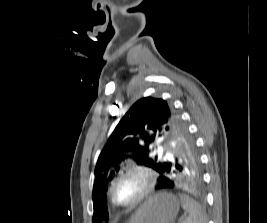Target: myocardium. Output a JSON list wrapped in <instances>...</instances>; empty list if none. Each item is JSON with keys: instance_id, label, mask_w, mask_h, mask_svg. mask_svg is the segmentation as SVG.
Here are the masks:
<instances>
[{"instance_id": "obj_1", "label": "myocardium", "mask_w": 267, "mask_h": 223, "mask_svg": "<svg viewBox=\"0 0 267 223\" xmlns=\"http://www.w3.org/2000/svg\"><path fill=\"white\" fill-rule=\"evenodd\" d=\"M137 174L144 179L145 185L142 191L134 199L126 202H122L117 199L115 195V187L117 183L124 177ZM157 181V175L153 169L141 164H130L125 169L116 174L112 179L109 187V193L111 200L114 204L120 207H133L143 200H145L154 190Z\"/></svg>"}]
</instances>
